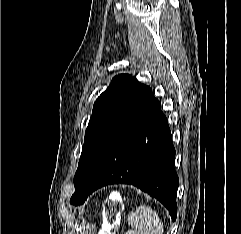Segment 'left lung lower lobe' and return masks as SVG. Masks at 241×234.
<instances>
[{
	"instance_id": "left-lung-lower-lobe-1",
	"label": "left lung lower lobe",
	"mask_w": 241,
	"mask_h": 234,
	"mask_svg": "<svg viewBox=\"0 0 241 234\" xmlns=\"http://www.w3.org/2000/svg\"><path fill=\"white\" fill-rule=\"evenodd\" d=\"M174 159L167 119L149 88L111 143L90 181L84 202L92 192L108 184H133L157 198L175 220L179 179Z\"/></svg>"
}]
</instances>
